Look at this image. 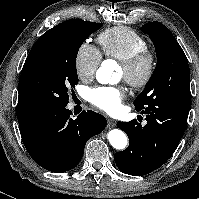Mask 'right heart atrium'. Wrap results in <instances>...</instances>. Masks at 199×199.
Segmentation results:
<instances>
[{
    "label": "right heart atrium",
    "instance_id": "1",
    "mask_svg": "<svg viewBox=\"0 0 199 199\" xmlns=\"http://www.w3.org/2000/svg\"><path fill=\"white\" fill-rule=\"evenodd\" d=\"M100 62V51L88 42L82 43L75 56V70L78 77L84 81L93 78Z\"/></svg>",
    "mask_w": 199,
    "mask_h": 199
}]
</instances>
